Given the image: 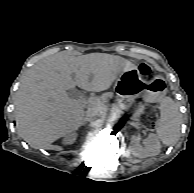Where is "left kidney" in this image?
<instances>
[{
	"mask_svg": "<svg viewBox=\"0 0 194 193\" xmlns=\"http://www.w3.org/2000/svg\"><path fill=\"white\" fill-rule=\"evenodd\" d=\"M161 151V144L158 137L155 134H149L145 141V147L139 144V141L134 138L131 141V152L134 156L139 158H146L156 156Z\"/></svg>",
	"mask_w": 194,
	"mask_h": 193,
	"instance_id": "1",
	"label": "left kidney"
}]
</instances>
